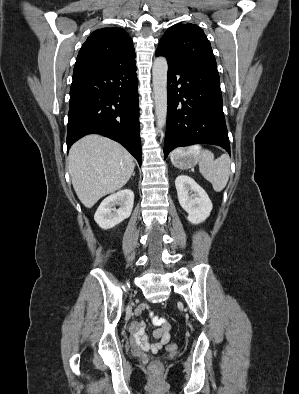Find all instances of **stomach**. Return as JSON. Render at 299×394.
<instances>
[{
  "mask_svg": "<svg viewBox=\"0 0 299 394\" xmlns=\"http://www.w3.org/2000/svg\"><path fill=\"white\" fill-rule=\"evenodd\" d=\"M200 160L199 151H189V150H178L176 151L172 157V164L180 169H188L193 167Z\"/></svg>",
  "mask_w": 299,
  "mask_h": 394,
  "instance_id": "1",
  "label": "stomach"
}]
</instances>
